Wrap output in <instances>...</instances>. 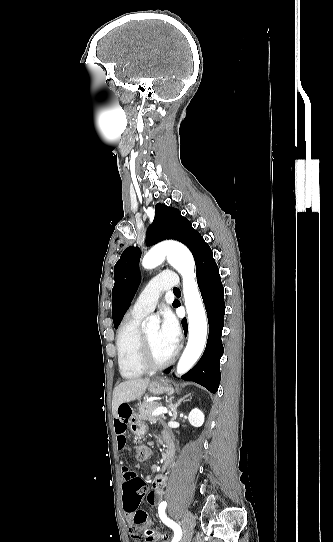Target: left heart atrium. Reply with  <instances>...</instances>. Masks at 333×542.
Here are the masks:
<instances>
[{
    "mask_svg": "<svg viewBox=\"0 0 333 542\" xmlns=\"http://www.w3.org/2000/svg\"><path fill=\"white\" fill-rule=\"evenodd\" d=\"M160 332L166 342L175 351L181 339V329L178 320L169 309H165L162 313Z\"/></svg>",
    "mask_w": 333,
    "mask_h": 542,
    "instance_id": "39dd6f15",
    "label": "left heart atrium"
}]
</instances>
